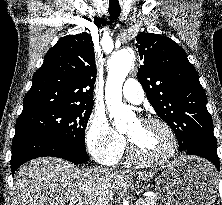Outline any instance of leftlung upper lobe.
Returning a JSON list of instances; mask_svg holds the SVG:
<instances>
[{
    "label": "left lung upper lobe",
    "mask_w": 222,
    "mask_h": 205,
    "mask_svg": "<svg viewBox=\"0 0 222 205\" xmlns=\"http://www.w3.org/2000/svg\"><path fill=\"white\" fill-rule=\"evenodd\" d=\"M135 46L142 61L139 82L156 113L174 131L179 150H216L206 93L185 51L170 38L150 33L138 34Z\"/></svg>",
    "instance_id": "5c2ea615"
}]
</instances>
